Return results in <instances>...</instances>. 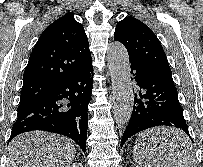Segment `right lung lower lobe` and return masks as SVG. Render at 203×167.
<instances>
[{
  "instance_id": "1",
  "label": "right lung lower lobe",
  "mask_w": 203,
  "mask_h": 167,
  "mask_svg": "<svg viewBox=\"0 0 203 167\" xmlns=\"http://www.w3.org/2000/svg\"><path fill=\"white\" fill-rule=\"evenodd\" d=\"M92 82L90 62L61 82L47 97L20 103L9 141L24 132L43 130L73 139L85 152Z\"/></svg>"
}]
</instances>
